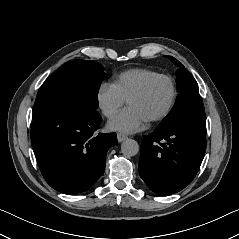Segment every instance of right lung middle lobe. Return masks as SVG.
<instances>
[{"instance_id": "1", "label": "right lung middle lobe", "mask_w": 239, "mask_h": 239, "mask_svg": "<svg viewBox=\"0 0 239 239\" xmlns=\"http://www.w3.org/2000/svg\"><path fill=\"white\" fill-rule=\"evenodd\" d=\"M105 78L103 67L92 60H71L50 75L40 87L33 119L62 103H75L88 110L98 107V91Z\"/></svg>"}]
</instances>
